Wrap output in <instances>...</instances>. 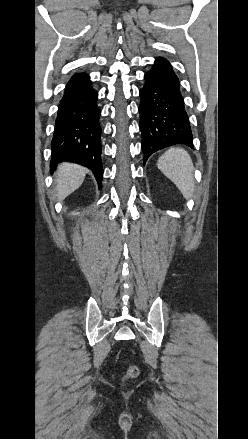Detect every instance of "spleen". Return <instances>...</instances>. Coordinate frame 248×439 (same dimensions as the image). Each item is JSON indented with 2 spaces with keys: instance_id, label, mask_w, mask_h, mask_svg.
Returning <instances> with one entry per match:
<instances>
[{
  "instance_id": "spleen-1",
  "label": "spleen",
  "mask_w": 248,
  "mask_h": 439,
  "mask_svg": "<svg viewBox=\"0 0 248 439\" xmlns=\"http://www.w3.org/2000/svg\"><path fill=\"white\" fill-rule=\"evenodd\" d=\"M157 167L176 185L185 198H192L195 189L194 167L185 149L171 147L158 159Z\"/></svg>"
}]
</instances>
